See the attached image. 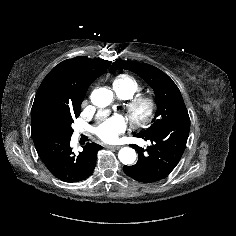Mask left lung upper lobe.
<instances>
[{
    "label": "left lung upper lobe",
    "mask_w": 236,
    "mask_h": 236,
    "mask_svg": "<svg viewBox=\"0 0 236 236\" xmlns=\"http://www.w3.org/2000/svg\"><path fill=\"white\" fill-rule=\"evenodd\" d=\"M122 69L138 74L155 92L157 111L153 124L138 135L152 134L170 124L190 120L182 95L168 75L152 65L123 60L114 62L110 72Z\"/></svg>",
    "instance_id": "1"
}]
</instances>
